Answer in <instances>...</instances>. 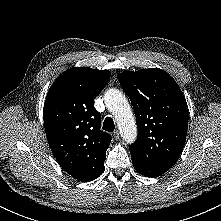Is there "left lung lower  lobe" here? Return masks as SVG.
<instances>
[{"label": "left lung lower lobe", "instance_id": "obj_1", "mask_svg": "<svg viewBox=\"0 0 221 221\" xmlns=\"http://www.w3.org/2000/svg\"><path fill=\"white\" fill-rule=\"evenodd\" d=\"M132 163H133L135 170L139 174H142L147 177L160 176L170 169L168 167H158V166H151V165L142 164L136 160H132Z\"/></svg>", "mask_w": 221, "mask_h": 221}]
</instances>
